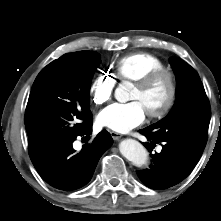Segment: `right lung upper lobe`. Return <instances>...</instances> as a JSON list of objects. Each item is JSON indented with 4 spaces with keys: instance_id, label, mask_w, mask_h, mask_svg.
<instances>
[{
    "instance_id": "obj_1",
    "label": "right lung upper lobe",
    "mask_w": 221,
    "mask_h": 221,
    "mask_svg": "<svg viewBox=\"0 0 221 221\" xmlns=\"http://www.w3.org/2000/svg\"><path fill=\"white\" fill-rule=\"evenodd\" d=\"M81 51H79V52H74V53H69V54H66V55H70V54H78V53H80Z\"/></svg>"
}]
</instances>
